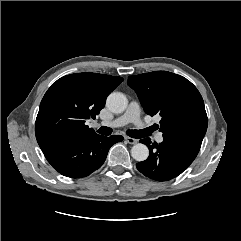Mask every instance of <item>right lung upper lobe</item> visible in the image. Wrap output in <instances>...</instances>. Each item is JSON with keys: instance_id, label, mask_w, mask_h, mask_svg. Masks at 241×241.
I'll use <instances>...</instances> for the list:
<instances>
[{"instance_id": "right-lung-upper-lobe-1", "label": "right lung upper lobe", "mask_w": 241, "mask_h": 241, "mask_svg": "<svg viewBox=\"0 0 241 241\" xmlns=\"http://www.w3.org/2000/svg\"><path fill=\"white\" fill-rule=\"evenodd\" d=\"M123 78L76 73L54 82L45 93L35 123V134L41 149L74 138L96 134L85 121L99 114L107 96Z\"/></svg>"}]
</instances>
